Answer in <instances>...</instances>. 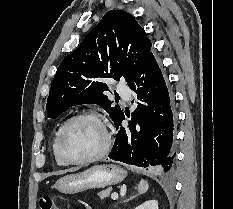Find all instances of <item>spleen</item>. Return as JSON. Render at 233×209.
I'll use <instances>...</instances> for the list:
<instances>
[{
  "mask_svg": "<svg viewBox=\"0 0 233 209\" xmlns=\"http://www.w3.org/2000/svg\"><path fill=\"white\" fill-rule=\"evenodd\" d=\"M148 190V183L145 180H141L140 183L138 184V192L140 194H144Z\"/></svg>",
  "mask_w": 233,
  "mask_h": 209,
  "instance_id": "obj_1",
  "label": "spleen"
}]
</instances>
